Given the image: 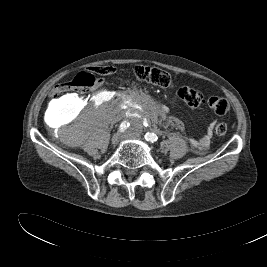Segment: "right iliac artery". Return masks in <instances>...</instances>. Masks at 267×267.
<instances>
[{"mask_svg":"<svg viewBox=\"0 0 267 267\" xmlns=\"http://www.w3.org/2000/svg\"><path fill=\"white\" fill-rule=\"evenodd\" d=\"M130 126L129 122L124 121L121 123V125L119 126V131L120 132H124L125 130H127V128Z\"/></svg>","mask_w":267,"mask_h":267,"instance_id":"1","label":"right iliac artery"}]
</instances>
